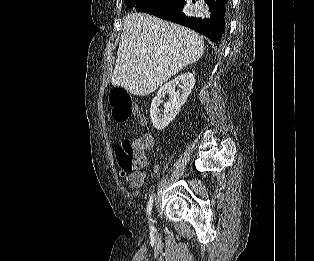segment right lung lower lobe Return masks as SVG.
Returning <instances> with one entry per match:
<instances>
[{
    "mask_svg": "<svg viewBox=\"0 0 314 261\" xmlns=\"http://www.w3.org/2000/svg\"><path fill=\"white\" fill-rule=\"evenodd\" d=\"M200 3L199 0H192V3ZM211 12L210 18L188 17L183 12L187 1L185 0H164L159 5L146 11L165 20L187 26L208 37L216 45L222 43L223 35L227 25L229 12V0H204ZM191 7L193 5L191 4Z\"/></svg>",
    "mask_w": 314,
    "mask_h": 261,
    "instance_id": "right-lung-lower-lobe-1",
    "label": "right lung lower lobe"
}]
</instances>
